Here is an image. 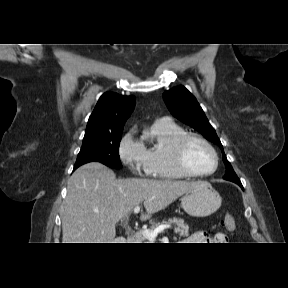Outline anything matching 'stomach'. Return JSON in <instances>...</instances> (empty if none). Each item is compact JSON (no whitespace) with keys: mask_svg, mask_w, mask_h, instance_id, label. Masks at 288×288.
<instances>
[{"mask_svg":"<svg viewBox=\"0 0 288 288\" xmlns=\"http://www.w3.org/2000/svg\"><path fill=\"white\" fill-rule=\"evenodd\" d=\"M221 202L219 193L210 183L204 181L196 182L181 198L182 208L193 217H207L213 214L219 209Z\"/></svg>","mask_w":288,"mask_h":288,"instance_id":"1","label":"stomach"}]
</instances>
